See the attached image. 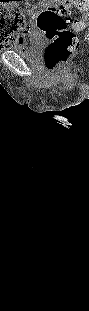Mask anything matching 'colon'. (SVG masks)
Masks as SVG:
<instances>
[{
  "mask_svg": "<svg viewBox=\"0 0 89 311\" xmlns=\"http://www.w3.org/2000/svg\"><path fill=\"white\" fill-rule=\"evenodd\" d=\"M72 6L86 13L89 0H53L39 13L36 20L37 28L51 40L44 56L46 67L51 71L60 68L80 45L77 34L68 28L71 25L78 32L83 27L81 21L70 18L69 11ZM23 23L21 13L13 6L1 8L0 28L3 33L16 32Z\"/></svg>",
  "mask_w": 89,
  "mask_h": 311,
  "instance_id": "obj_1",
  "label": "colon"
}]
</instances>
